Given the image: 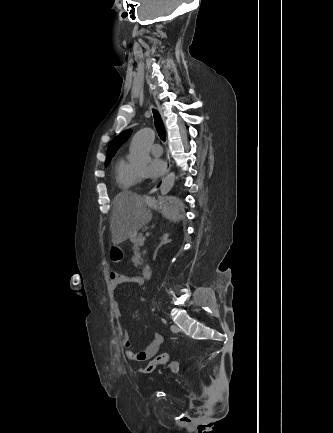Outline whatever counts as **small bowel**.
Returning a JSON list of instances; mask_svg holds the SVG:
<instances>
[{"mask_svg":"<svg viewBox=\"0 0 333 433\" xmlns=\"http://www.w3.org/2000/svg\"><path fill=\"white\" fill-rule=\"evenodd\" d=\"M133 283L135 285H140L142 283V279L139 276H130L121 274L119 272H111L110 274V284L114 293L117 292L119 286L123 283ZM114 311L117 317L121 316V308L119 303L116 301L114 305ZM164 342V337L160 333H155L148 343V345L141 351H135L132 348V341L130 339L129 333L126 330L121 331V344L125 349V356L128 360L133 362H145L153 359L158 353L161 344ZM172 371H176L178 369V364L174 363L171 366Z\"/></svg>","mask_w":333,"mask_h":433,"instance_id":"1","label":"small bowel"}]
</instances>
